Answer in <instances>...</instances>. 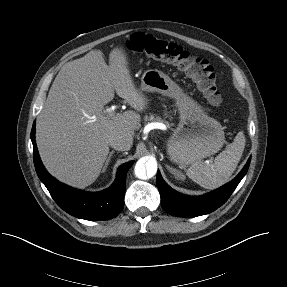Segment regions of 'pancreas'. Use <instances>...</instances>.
<instances>
[{"label":"pancreas","instance_id":"cf45deb5","mask_svg":"<svg viewBox=\"0 0 287 287\" xmlns=\"http://www.w3.org/2000/svg\"><path fill=\"white\" fill-rule=\"evenodd\" d=\"M144 120L145 121H159V122H163V120L159 117V116H157V117H154L153 115H150V116H145L144 117ZM167 126L169 127V124H167Z\"/></svg>","mask_w":287,"mask_h":287}]
</instances>
